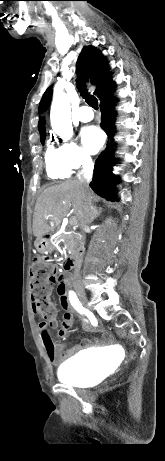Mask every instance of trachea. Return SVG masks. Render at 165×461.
<instances>
[{
  "instance_id": "3493384b",
  "label": "trachea",
  "mask_w": 165,
  "mask_h": 461,
  "mask_svg": "<svg viewBox=\"0 0 165 461\" xmlns=\"http://www.w3.org/2000/svg\"><path fill=\"white\" fill-rule=\"evenodd\" d=\"M77 87H78L79 92L81 93V96L85 99L88 105H90L94 109H97L98 108L97 99L93 95H90V93L86 89V86L82 80H79L77 82Z\"/></svg>"
}]
</instances>
